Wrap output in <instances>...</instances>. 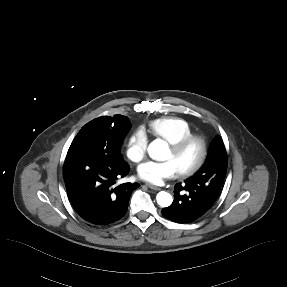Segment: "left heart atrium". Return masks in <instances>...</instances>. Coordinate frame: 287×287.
I'll return each mask as SVG.
<instances>
[{
  "instance_id": "1",
  "label": "left heart atrium",
  "mask_w": 287,
  "mask_h": 287,
  "mask_svg": "<svg viewBox=\"0 0 287 287\" xmlns=\"http://www.w3.org/2000/svg\"><path fill=\"white\" fill-rule=\"evenodd\" d=\"M178 172L175 164L170 160L164 162L147 161L139 166L137 174L142 181L148 184L160 185L165 180L175 177Z\"/></svg>"
}]
</instances>
